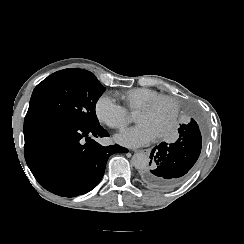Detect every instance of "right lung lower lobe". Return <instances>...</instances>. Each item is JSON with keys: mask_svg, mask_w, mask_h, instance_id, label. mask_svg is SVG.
I'll return each mask as SVG.
<instances>
[{"mask_svg": "<svg viewBox=\"0 0 244 244\" xmlns=\"http://www.w3.org/2000/svg\"><path fill=\"white\" fill-rule=\"evenodd\" d=\"M105 136L109 134L100 124L82 127L49 115H26L25 159L48 191L65 197L85 194L100 182L110 155L128 151L92 139Z\"/></svg>", "mask_w": 244, "mask_h": 244, "instance_id": "right-lung-lower-lobe-1", "label": "right lung lower lobe"}]
</instances>
